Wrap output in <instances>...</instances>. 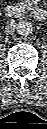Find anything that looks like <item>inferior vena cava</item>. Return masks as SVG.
Wrapping results in <instances>:
<instances>
[{"mask_svg":"<svg viewBox=\"0 0 47 129\" xmlns=\"http://www.w3.org/2000/svg\"><path fill=\"white\" fill-rule=\"evenodd\" d=\"M14 28H15V22H14V20H11L8 22V25L5 28V32L7 34H11L13 32Z\"/></svg>","mask_w":47,"mask_h":129,"instance_id":"obj_1","label":"inferior vena cava"}]
</instances>
